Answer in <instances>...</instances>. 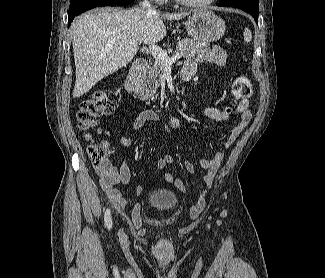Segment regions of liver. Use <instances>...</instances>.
I'll return each instance as SVG.
<instances>
[{"mask_svg": "<svg viewBox=\"0 0 325 278\" xmlns=\"http://www.w3.org/2000/svg\"><path fill=\"white\" fill-rule=\"evenodd\" d=\"M190 12L160 13L143 8H102L79 17L72 31L76 66L73 97L127 65L140 44H154L166 35L162 19L179 20Z\"/></svg>", "mask_w": 325, "mask_h": 278, "instance_id": "1", "label": "liver"}]
</instances>
